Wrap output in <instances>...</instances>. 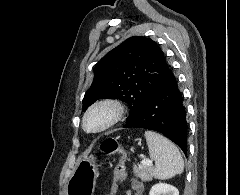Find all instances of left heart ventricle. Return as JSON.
I'll return each mask as SVG.
<instances>
[{"mask_svg": "<svg viewBox=\"0 0 240 195\" xmlns=\"http://www.w3.org/2000/svg\"><path fill=\"white\" fill-rule=\"evenodd\" d=\"M101 121H102L101 115H93L88 120V126L91 128L96 127L101 123Z\"/></svg>", "mask_w": 240, "mask_h": 195, "instance_id": "1", "label": "left heart ventricle"}]
</instances>
